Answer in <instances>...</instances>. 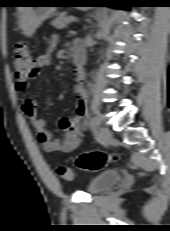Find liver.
Here are the masks:
<instances>
[{"instance_id": "obj_1", "label": "liver", "mask_w": 170, "mask_h": 231, "mask_svg": "<svg viewBox=\"0 0 170 231\" xmlns=\"http://www.w3.org/2000/svg\"><path fill=\"white\" fill-rule=\"evenodd\" d=\"M18 11H19V12L21 11V7L18 8Z\"/></svg>"}]
</instances>
